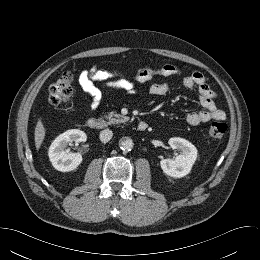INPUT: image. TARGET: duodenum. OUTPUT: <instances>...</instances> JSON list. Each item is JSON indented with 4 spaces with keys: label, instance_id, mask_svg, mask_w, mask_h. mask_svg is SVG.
Wrapping results in <instances>:
<instances>
[{
    "label": "duodenum",
    "instance_id": "duodenum-1",
    "mask_svg": "<svg viewBox=\"0 0 260 260\" xmlns=\"http://www.w3.org/2000/svg\"><path fill=\"white\" fill-rule=\"evenodd\" d=\"M87 126L94 130H102L105 129L108 125L107 122L103 119L98 118H90L86 122ZM148 127V124L144 121H141L137 124V129L139 131H145Z\"/></svg>",
    "mask_w": 260,
    "mask_h": 260
}]
</instances>
